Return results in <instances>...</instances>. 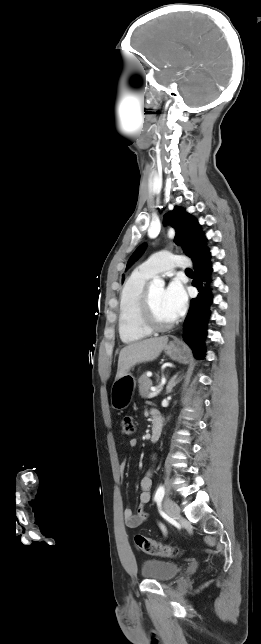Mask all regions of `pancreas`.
I'll return each instance as SVG.
<instances>
[{
	"label": "pancreas",
	"mask_w": 261,
	"mask_h": 644,
	"mask_svg": "<svg viewBox=\"0 0 261 644\" xmlns=\"http://www.w3.org/2000/svg\"><path fill=\"white\" fill-rule=\"evenodd\" d=\"M139 393L141 397L147 398L148 395L151 393L150 387L152 386V381L149 379V377L146 374H143L139 380Z\"/></svg>",
	"instance_id": "1"
}]
</instances>
